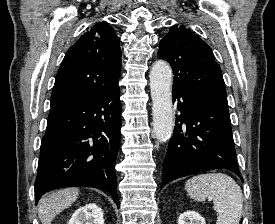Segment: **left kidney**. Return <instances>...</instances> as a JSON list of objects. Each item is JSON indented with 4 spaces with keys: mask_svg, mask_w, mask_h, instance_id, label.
I'll return each instance as SVG.
<instances>
[{
    "mask_svg": "<svg viewBox=\"0 0 275 224\" xmlns=\"http://www.w3.org/2000/svg\"><path fill=\"white\" fill-rule=\"evenodd\" d=\"M178 224H206V222L199 213L186 211L179 216Z\"/></svg>",
    "mask_w": 275,
    "mask_h": 224,
    "instance_id": "left-kidney-1",
    "label": "left kidney"
}]
</instances>
